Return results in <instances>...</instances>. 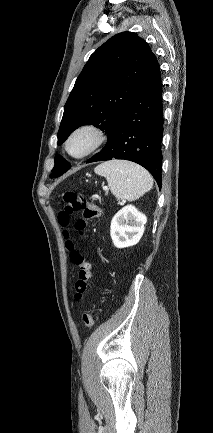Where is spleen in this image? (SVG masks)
<instances>
[{
  "instance_id": "spleen-1",
  "label": "spleen",
  "mask_w": 213,
  "mask_h": 433,
  "mask_svg": "<svg viewBox=\"0 0 213 433\" xmlns=\"http://www.w3.org/2000/svg\"><path fill=\"white\" fill-rule=\"evenodd\" d=\"M94 171L106 178L112 194L121 200L134 201L153 186L148 171L129 161H107L98 165Z\"/></svg>"
}]
</instances>
